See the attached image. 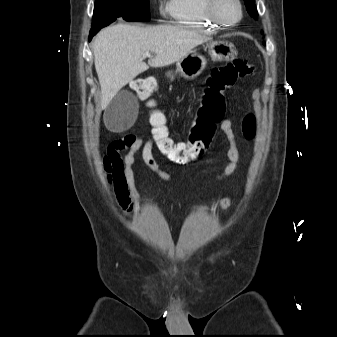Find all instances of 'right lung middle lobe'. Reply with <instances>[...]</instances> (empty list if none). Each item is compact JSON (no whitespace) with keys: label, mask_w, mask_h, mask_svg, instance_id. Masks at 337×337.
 <instances>
[{"label":"right lung middle lobe","mask_w":337,"mask_h":337,"mask_svg":"<svg viewBox=\"0 0 337 337\" xmlns=\"http://www.w3.org/2000/svg\"><path fill=\"white\" fill-rule=\"evenodd\" d=\"M117 18L126 21H149V0H95L92 27L110 24Z\"/></svg>","instance_id":"dd1d6c3e"}]
</instances>
